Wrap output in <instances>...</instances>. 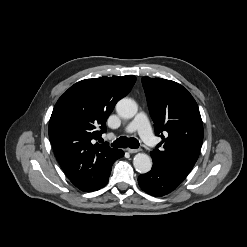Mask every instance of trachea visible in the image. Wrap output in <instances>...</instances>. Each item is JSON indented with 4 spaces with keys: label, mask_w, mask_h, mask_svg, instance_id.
Wrapping results in <instances>:
<instances>
[{
    "label": "trachea",
    "mask_w": 247,
    "mask_h": 247,
    "mask_svg": "<svg viewBox=\"0 0 247 247\" xmlns=\"http://www.w3.org/2000/svg\"><path fill=\"white\" fill-rule=\"evenodd\" d=\"M115 148H131L136 149L139 147V141L136 138L120 137L116 139L112 144Z\"/></svg>",
    "instance_id": "3493384b"
}]
</instances>
